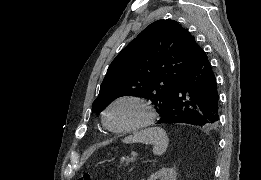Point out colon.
<instances>
[{
    "mask_svg": "<svg viewBox=\"0 0 261 180\" xmlns=\"http://www.w3.org/2000/svg\"><path fill=\"white\" fill-rule=\"evenodd\" d=\"M90 174L89 173H81L78 176V180H90Z\"/></svg>",
    "mask_w": 261,
    "mask_h": 180,
    "instance_id": "1",
    "label": "colon"
}]
</instances>
